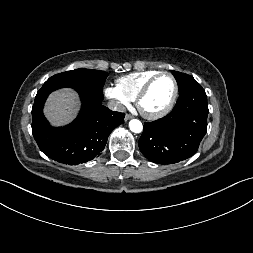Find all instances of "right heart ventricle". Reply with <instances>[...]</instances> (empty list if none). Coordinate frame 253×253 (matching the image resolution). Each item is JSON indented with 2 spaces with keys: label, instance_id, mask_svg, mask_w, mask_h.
<instances>
[{
  "label": "right heart ventricle",
  "instance_id": "right-heart-ventricle-1",
  "mask_svg": "<svg viewBox=\"0 0 253 253\" xmlns=\"http://www.w3.org/2000/svg\"><path fill=\"white\" fill-rule=\"evenodd\" d=\"M157 73L159 71L149 70L121 76L116 80V87L129 100H135L144 84Z\"/></svg>",
  "mask_w": 253,
  "mask_h": 253
}]
</instances>
